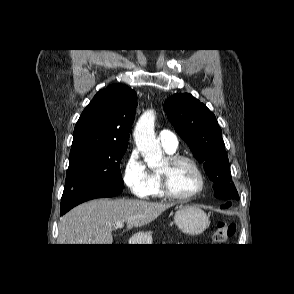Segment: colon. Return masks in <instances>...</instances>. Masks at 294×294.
Returning a JSON list of instances; mask_svg holds the SVG:
<instances>
[{"label": "colon", "instance_id": "5ec220e1", "mask_svg": "<svg viewBox=\"0 0 294 294\" xmlns=\"http://www.w3.org/2000/svg\"><path fill=\"white\" fill-rule=\"evenodd\" d=\"M235 233V224L232 222H220L213 233V240L216 244H224Z\"/></svg>", "mask_w": 294, "mask_h": 294}]
</instances>
